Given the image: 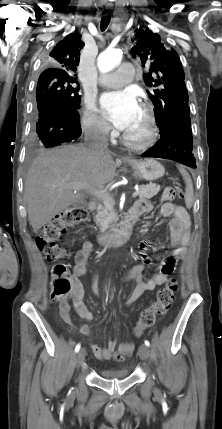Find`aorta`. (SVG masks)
I'll use <instances>...</instances> for the list:
<instances>
[{"label":"aorta","mask_w":222,"mask_h":429,"mask_svg":"<svg viewBox=\"0 0 222 429\" xmlns=\"http://www.w3.org/2000/svg\"><path fill=\"white\" fill-rule=\"evenodd\" d=\"M123 52L120 49H107L98 56L97 65L102 73L111 71L122 59Z\"/></svg>","instance_id":"762f6f07"}]
</instances>
